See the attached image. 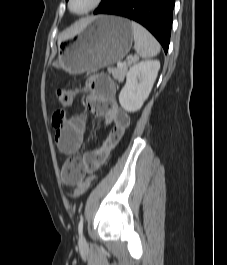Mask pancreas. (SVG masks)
Returning <instances> with one entry per match:
<instances>
[{
	"mask_svg": "<svg viewBox=\"0 0 227 265\" xmlns=\"http://www.w3.org/2000/svg\"><path fill=\"white\" fill-rule=\"evenodd\" d=\"M128 65H124L123 67H117V68H108V72L112 74V76L117 79L119 82H122L125 78V75L128 70Z\"/></svg>",
	"mask_w": 227,
	"mask_h": 265,
	"instance_id": "1",
	"label": "pancreas"
}]
</instances>
